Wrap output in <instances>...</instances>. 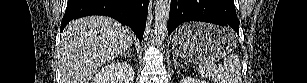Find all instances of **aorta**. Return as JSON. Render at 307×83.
Wrapping results in <instances>:
<instances>
[{"mask_svg": "<svg viewBox=\"0 0 307 83\" xmlns=\"http://www.w3.org/2000/svg\"><path fill=\"white\" fill-rule=\"evenodd\" d=\"M171 0H156L155 1V40L158 45H161L165 40L168 19L170 14Z\"/></svg>", "mask_w": 307, "mask_h": 83, "instance_id": "762f6f07", "label": "aorta"}]
</instances>
